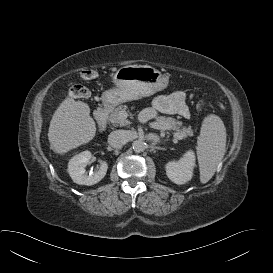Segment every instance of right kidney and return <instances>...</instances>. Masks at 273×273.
I'll return each mask as SVG.
<instances>
[{"label": "right kidney", "mask_w": 273, "mask_h": 273, "mask_svg": "<svg viewBox=\"0 0 273 273\" xmlns=\"http://www.w3.org/2000/svg\"><path fill=\"white\" fill-rule=\"evenodd\" d=\"M92 154L90 151H83L73 156L68 163V173L72 180L79 185H94L101 181L106 175L108 164L103 161L98 171L86 173V166Z\"/></svg>", "instance_id": "1"}]
</instances>
